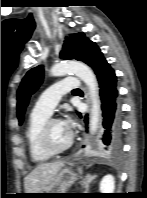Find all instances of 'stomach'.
Wrapping results in <instances>:
<instances>
[{
	"mask_svg": "<svg viewBox=\"0 0 147 198\" xmlns=\"http://www.w3.org/2000/svg\"><path fill=\"white\" fill-rule=\"evenodd\" d=\"M77 180V174L70 168L65 167L62 169L54 181H52L46 188L32 196L34 198H51L59 197L60 194L66 193L67 189Z\"/></svg>",
	"mask_w": 147,
	"mask_h": 198,
	"instance_id": "obj_1",
	"label": "stomach"
}]
</instances>
